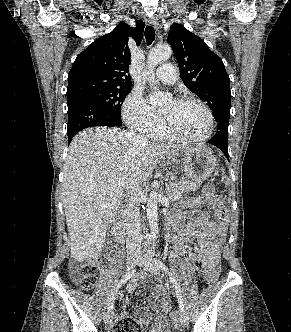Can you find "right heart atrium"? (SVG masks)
<instances>
[{"mask_svg":"<svg viewBox=\"0 0 291 332\" xmlns=\"http://www.w3.org/2000/svg\"><path fill=\"white\" fill-rule=\"evenodd\" d=\"M126 124L133 130L149 134L161 127L162 120L149 105L141 92L132 91L126 98L123 109Z\"/></svg>","mask_w":291,"mask_h":332,"instance_id":"1","label":"right heart atrium"}]
</instances>
